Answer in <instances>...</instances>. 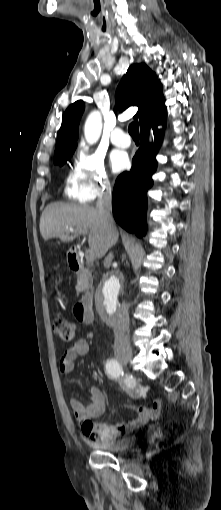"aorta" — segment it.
<instances>
[{
  "label": "aorta",
  "mask_w": 221,
  "mask_h": 510,
  "mask_svg": "<svg viewBox=\"0 0 221 510\" xmlns=\"http://www.w3.org/2000/svg\"><path fill=\"white\" fill-rule=\"evenodd\" d=\"M102 131V118L99 111L89 114L84 125V136L89 144L98 141ZM123 289L122 279L111 275L103 281L98 290V306L100 311L114 318L119 310L118 296Z\"/></svg>",
  "instance_id": "aorta-1"
}]
</instances>
